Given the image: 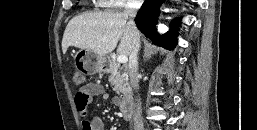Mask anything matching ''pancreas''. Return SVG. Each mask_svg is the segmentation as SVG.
Segmentation results:
<instances>
[{
  "mask_svg": "<svg viewBox=\"0 0 257 130\" xmlns=\"http://www.w3.org/2000/svg\"><path fill=\"white\" fill-rule=\"evenodd\" d=\"M118 65L116 67L110 68V76H109V82L113 86V90L117 94H123L127 90V74L121 73L118 70Z\"/></svg>",
  "mask_w": 257,
  "mask_h": 130,
  "instance_id": "1",
  "label": "pancreas"
}]
</instances>
